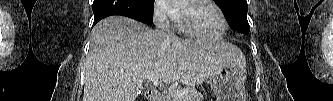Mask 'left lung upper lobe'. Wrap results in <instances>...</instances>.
<instances>
[{"label": "left lung upper lobe", "instance_id": "left-lung-upper-lobe-1", "mask_svg": "<svg viewBox=\"0 0 333 101\" xmlns=\"http://www.w3.org/2000/svg\"><path fill=\"white\" fill-rule=\"evenodd\" d=\"M222 7L230 27L237 32L248 34L250 27L247 21L246 0H214Z\"/></svg>", "mask_w": 333, "mask_h": 101}]
</instances>
